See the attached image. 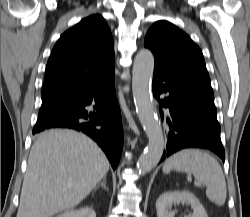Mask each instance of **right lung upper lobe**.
Returning <instances> with one entry per match:
<instances>
[{"instance_id": "right-lung-upper-lobe-1", "label": "right lung upper lobe", "mask_w": 250, "mask_h": 217, "mask_svg": "<svg viewBox=\"0 0 250 217\" xmlns=\"http://www.w3.org/2000/svg\"><path fill=\"white\" fill-rule=\"evenodd\" d=\"M114 60V41L104 18H84L55 44L46 67L42 101L100 80L114 70Z\"/></svg>"}]
</instances>
